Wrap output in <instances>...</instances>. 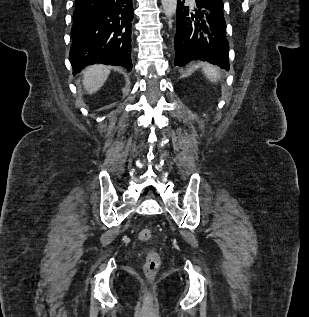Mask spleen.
I'll list each match as a JSON object with an SVG mask.
<instances>
[{
  "mask_svg": "<svg viewBox=\"0 0 309 317\" xmlns=\"http://www.w3.org/2000/svg\"><path fill=\"white\" fill-rule=\"evenodd\" d=\"M203 73L211 82L216 83L217 80H219L220 78L218 70L215 67L210 65H207L206 67H204Z\"/></svg>",
  "mask_w": 309,
  "mask_h": 317,
  "instance_id": "spleen-1",
  "label": "spleen"
}]
</instances>
